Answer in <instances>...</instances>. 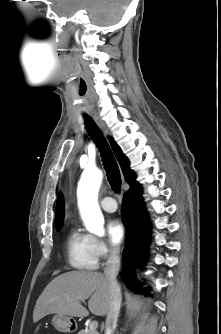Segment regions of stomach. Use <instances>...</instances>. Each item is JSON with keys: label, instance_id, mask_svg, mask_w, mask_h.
Here are the masks:
<instances>
[{"label": "stomach", "instance_id": "0dacf381", "mask_svg": "<svg viewBox=\"0 0 221 334\" xmlns=\"http://www.w3.org/2000/svg\"><path fill=\"white\" fill-rule=\"evenodd\" d=\"M52 324L60 332H71L76 328V324L71 318L60 314L53 316Z\"/></svg>", "mask_w": 221, "mask_h": 334}]
</instances>
